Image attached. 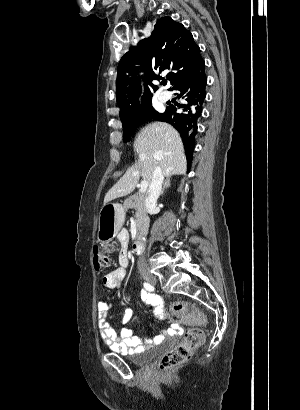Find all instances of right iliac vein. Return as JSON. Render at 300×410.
<instances>
[{
  "label": "right iliac vein",
  "instance_id": "right-iliac-vein-1",
  "mask_svg": "<svg viewBox=\"0 0 300 410\" xmlns=\"http://www.w3.org/2000/svg\"><path fill=\"white\" fill-rule=\"evenodd\" d=\"M143 277H144V279H145L146 281H148L149 283L154 284V283L157 282L156 277H155L154 275L148 273V272H144V273H143Z\"/></svg>",
  "mask_w": 300,
  "mask_h": 410
}]
</instances>
